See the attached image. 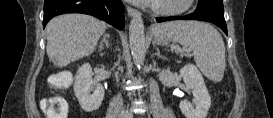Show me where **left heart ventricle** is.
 <instances>
[{
    "mask_svg": "<svg viewBox=\"0 0 273 118\" xmlns=\"http://www.w3.org/2000/svg\"><path fill=\"white\" fill-rule=\"evenodd\" d=\"M183 0H161L158 4L167 6V7H175L181 4Z\"/></svg>",
    "mask_w": 273,
    "mask_h": 118,
    "instance_id": "left-heart-ventricle-1",
    "label": "left heart ventricle"
}]
</instances>
